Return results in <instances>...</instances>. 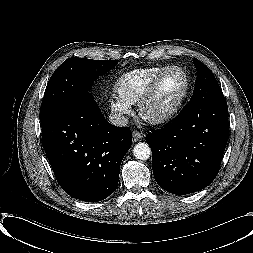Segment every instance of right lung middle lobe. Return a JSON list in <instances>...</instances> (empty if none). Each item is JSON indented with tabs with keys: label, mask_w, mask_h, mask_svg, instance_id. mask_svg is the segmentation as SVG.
<instances>
[{
	"label": "right lung middle lobe",
	"mask_w": 253,
	"mask_h": 253,
	"mask_svg": "<svg viewBox=\"0 0 253 253\" xmlns=\"http://www.w3.org/2000/svg\"><path fill=\"white\" fill-rule=\"evenodd\" d=\"M117 61L73 57L64 61L51 76L41 105V123L50 118L65 102L86 93L91 84L111 70Z\"/></svg>",
	"instance_id": "dd1d6c3e"
}]
</instances>
